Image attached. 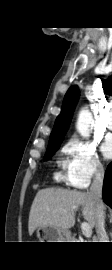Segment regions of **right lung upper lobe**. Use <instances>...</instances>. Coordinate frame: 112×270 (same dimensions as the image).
Here are the masks:
<instances>
[{
  "label": "right lung upper lobe",
  "instance_id": "obj_1",
  "mask_svg": "<svg viewBox=\"0 0 112 270\" xmlns=\"http://www.w3.org/2000/svg\"><path fill=\"white\" fill-rule=\"evenodd\" d=\"M105 93L112 95V76L104 84ZM79 98V90L77 86L71 87L63 100L61 113L58 115L51 136L49 144L62 142L66 134L72 118V114Z\"/></svg>",
  "mask_w": 112,
  "mask_h": 270
}]
</instances>
